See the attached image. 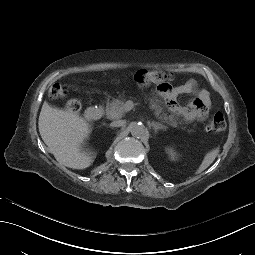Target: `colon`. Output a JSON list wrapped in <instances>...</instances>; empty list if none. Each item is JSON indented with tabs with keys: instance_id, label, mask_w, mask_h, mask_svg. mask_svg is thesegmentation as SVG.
<instances>
[{
	"instance_id": "obj_1",
	"label": "colon",
	"mask_w": 255,
	"mask_h": 255,
	"mask_svg": "<svg viewBox=\"0 0 255 255\" xmlns=\"http://www.w3.org/2000/svg\"><path fill=\"white\" fill-rule=\"evenodd\" d=\"M134 80L140 86L155 84L160 90H166L172 80V75L159 70L141 69L135 73ZM65 94V88L59 83L53 84L49 89V96L53 99L61 98ZM81 107V102L78 99H69L67 101V108L71 112H79ZM225 127L226 120L223 113L216 112L207 124L206 129L211 132H220L223 131Z\"/></svg>"
}]
</instances>
